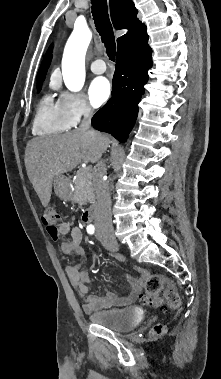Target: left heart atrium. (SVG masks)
Segmentation results:
<instances>
[{
  "label": "left heart atrium",
  "mask_w": 221,
  "mask_h": 379,
  "mask_svg": "<svg viewBox=\"0 0 221 379\" xmlns=\"http://www.w3.org/2000/svg\"><path fill=\"white\" fill-rule=\"evenodd\" d=\"M89 95L95 106L105 103L111 95V85L104 77L94 79L89 88Z\"/></svg>",
  "instance_id": "39dd6f15"
}]
</instances>
